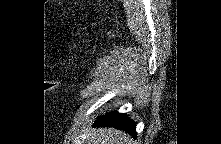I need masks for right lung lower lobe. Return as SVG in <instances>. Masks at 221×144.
Instances as JSON below:
<instances>
[{"instance_id":"right-lung-lower-lobe-1","label":"right lung lower lobe","mask_w":221,"mask_h":144,"mask_svg":"<svg viewBox=\"0 0 221 144\" xmlns=\"http://www.w3.org/2000/svg\"><path fill=\"white\" fill-rule=\"evenodd\" d=\"M94 126H109L120 130H124L131 136L136 138V125L135 123L127 117L125 114H120L116 111L105 114L97 119Z\"/></svg>"}]
</instances>
